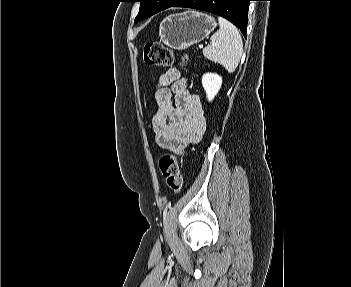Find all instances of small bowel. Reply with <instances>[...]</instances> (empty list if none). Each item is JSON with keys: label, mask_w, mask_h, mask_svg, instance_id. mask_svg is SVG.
<instances>
[{"label": "small bowel", "mask_w": 351, "mask_h": 287, "mask_svg": "<svg viewBox=\"0 0 351 287\" xmlns=\"http://www.w3.org/2000/svg\"><path fill=\"white\" fill-rule=\"evenodd\" d=\"M153 98L157 108L152 125L162 149L181 153L201 138L206 128L203 105L199 95L186 89L178 69L171 68L159 77Z\"/></svg>", "instance_id": "1"}]
</instances>
